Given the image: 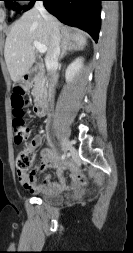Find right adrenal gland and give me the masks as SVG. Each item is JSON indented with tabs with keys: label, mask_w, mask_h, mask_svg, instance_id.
Masks as SVG:
<instances>
[{
	"label": "right adrenal gland",
	"mask_w": 133,
	"mask_h": 253,
	"mask_svg": "<svg viewBox=\"0 0 133 253\" xmlns=\"http://www.w3.org/2000/svg\"><path fill=\"white\" fill-rule=\"evenodd\" d=\"M61 49L62 51H61L60 59H62L67 54L68 51L77 50L79 48L75 45H72L65 39H63L61 42Z\"/></svg>",
	"instance_id": "obj_1"
}]
</instances>
